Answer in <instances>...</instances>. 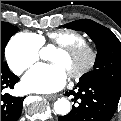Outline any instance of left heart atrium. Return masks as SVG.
<instances>
[{
  "label": "left heart atrium",
  "instance_id": "39dd6f15",
  "mask_svg": "<svg viewBox=\"0 0 121 121\" xmlns=\"http://www.w3.org/2000/svg\"><path fill=\"white\" fill-rule=\"evenodd\" d=\"M66 79L67 74L58 65L38 64L24 77L23 86L30 91L49 93L62 89Z\"/></svg>",
  "mask_w": 121,
  "mask_h": 121
}]
</instances>
